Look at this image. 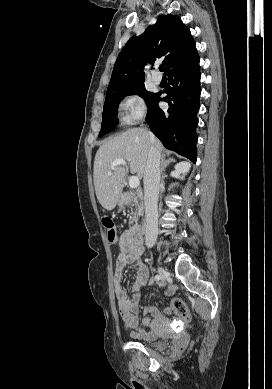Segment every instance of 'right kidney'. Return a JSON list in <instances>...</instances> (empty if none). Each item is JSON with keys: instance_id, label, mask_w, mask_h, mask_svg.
Returning <instances> with one entry per match:
<instances>
[{"instance_id": "1", "label": "right kidney", "mask_w": 272, "mask_h": 389, "mask_svg": "<svg viewBox=\"0 0 272 389\" xmlns=\"http://www.w3.org/2000/svg\"><path fill=\"white\" fill-rule=\"evenodd\" d=\"M191 168L190 163L180 162L175 165L174 171L171 172V177L184 179L185 175L189 172Z\"/></svg>"}]
</instances>
